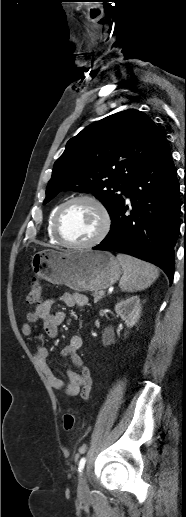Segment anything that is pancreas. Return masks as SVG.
Here are the masks:
<instances>
[{"mask_svg": "<svg viewBox=\"0 0 186 517\" xmlns=\"http://www.w3.org/2000/svg\"><path fill=\"white\" fill-rule=\"evenodd\" d=\"M100 291L98 290H95L93 293H92V296L94 297V303H97L99 300H101L103 298V295H100L99 293Z\"/></svg>", "mask_w": 186, "mask_h": 517, "instance_id": "obj_1", "label": "pancreas"}]
</instances>
